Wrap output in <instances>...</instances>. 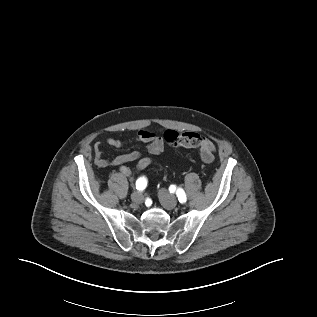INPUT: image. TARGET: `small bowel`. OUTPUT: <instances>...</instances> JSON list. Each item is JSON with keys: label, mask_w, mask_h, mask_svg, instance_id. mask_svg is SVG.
<instances>
[{"label": "small bowel", "mask_w": 317, "mask_h": 317, "mask_svg": "<svg viewBox=\"0 0 317 317\" xmlns=\"http://www.w3.org/2000/svg\"><path fill=\"white\" fill-rule=\"evenodd\" d=\"M134 141L148 144V149L152 154H158L164 150L163 138L156 136L153 132L148 130H140L134 138ZM106 144L110 147L121 148L124 146L125 142L113 137H108L106 139ZM214 151V144L209 139L202 137V142L199 146L202 160L207 163L211 162L214 158ZM133 161L137 162L134 169L126 165V163ZM94 163L99 168L118 167L122 175L132 177L148 167L152 163V158L143 157L141 153L136 150L113 158H106L104 157L101 145L97 144L94 148Z\"/></svg>", "instance_id": "c3829d8e"}]
</instances>
